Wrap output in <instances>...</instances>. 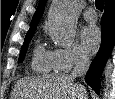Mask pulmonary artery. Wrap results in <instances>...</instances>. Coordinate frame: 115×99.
<instances>
[{"label":"pulmonary artery","mask_w":115,"mask_h":99,"mask_svg":"<svg viewBox=\"0 0 115 99\" xmlns=\"http://www.w3.org/2000/svg\"><path fill=\"white\" fill-rule=\"evenodd\" d=\"M85 20L89 22H95L97 20V14L93 9H87L83 14Z\"/></svg>","instance_id":"e3ab8cb5"}]
</instances>
